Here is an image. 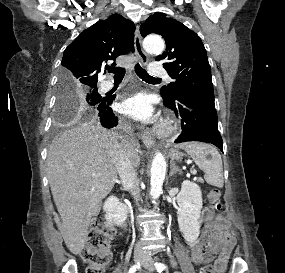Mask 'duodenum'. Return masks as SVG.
Here are the masks:
<instances>
[{"instance_id": "1", "label": "duodenum", "mask_w": 285, "mask_h": 273, "mask_svg": "<svg viewBox=\"0 0 285 273\" xmlns=\"http://www.w3.org/2000/svg\"><path fill=\"white\" fill-rule=\"evenodd\" d=\"M121 227H122V228H126V223H125V222H122V223H121Z\"/></svg>"}]
</instances>
